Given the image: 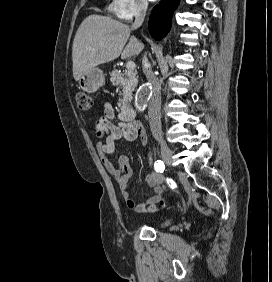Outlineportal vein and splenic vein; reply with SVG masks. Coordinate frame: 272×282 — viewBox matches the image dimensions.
Masks as SVG:
<instances>
[{"mask_svg": "<svg viewBox=\"0 0 272 282\" xmlns=\"http://www.w3.org/2000/svg\"><path fill=\"white\" fill-rule=\"evenodd\" d=\"M135 67H136V65H135V63L132 62V61H129V62L126 63V69H127V70H134Z\"/></svg>", "mask_w": 272, "mask_h": 282, "instance_id": "obj_1", "label": "portal vein and splenic vein"}]
</instances>
